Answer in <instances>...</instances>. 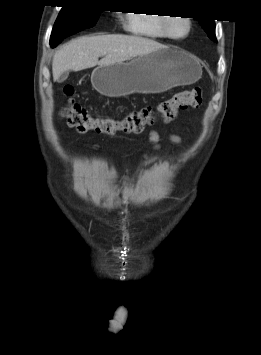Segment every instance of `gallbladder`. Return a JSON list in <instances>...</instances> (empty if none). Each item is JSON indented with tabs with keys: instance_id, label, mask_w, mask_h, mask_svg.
<instances>
[{
	"instance_id": "obj_1",
	"label": "gallbladder",
	"mask_w": 261,
	"mask_h": 355,
	"mask_svg": "<svg viewBox=\"0 0 261 355\" xmlns=\"http://www.w3.org/2000/svg\"><path fill=\"white\" fill-rule=\"evenodd\" d=\"M68 72L66 71V72H63L60 76H59V78L57 79V82L58 83H62V82H64L67 78H68Z\"/></svg>"
}]
</instances>
